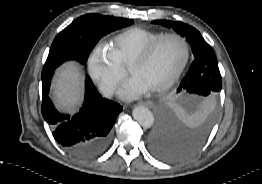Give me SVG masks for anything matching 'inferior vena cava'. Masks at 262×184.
<instances>
[{"mask_svg": "<svg viewBox=\"0 0 262 184\" xmlns=\"http://www.w3.org/2000/svg\"><path fill=\"white\" fill-rule=\"evenodd\" d=\"M115 90V86L112 84H107V85H103L101 86V92L105 97H109L111 95H113Z\"/></svg>", "mask_w": 262, "mask_h": 184, "instance_id": "1", "label": "inferior vena cava"}]
</instances>
